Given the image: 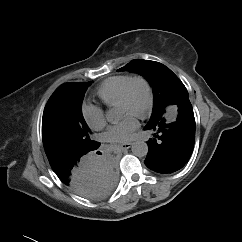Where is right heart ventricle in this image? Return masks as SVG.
<instances>
[{
  "label": "right heart ventricle",
  "instance_id": "obj_1",
  "mask_svg": "<svg viewBox=\"0 0 242 242\" xmlns=\"http://www.w3.org/2000/svg\"><path fill=\"white\" fill-rule=\"evenodd\" d=\"M131 78L132 76L123 74L106 79L96 90L98 98L109 107L116 106L124 87Z\"/></svg>",
  "mask_w": 242,
  "mask_h": 242
}]
</instances>
